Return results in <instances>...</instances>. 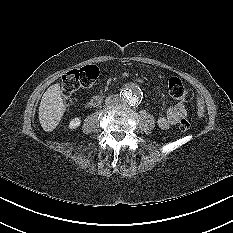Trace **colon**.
I'll return each mask as SVG.
<instances>
[{
  "instance_id": "5ec220e1",
  "label": "colon",
  "mask_w": 233,
  "mask_h": 233,
  "mask_svg": "<svg viewBox=\"0 0 233 233\" xmlns=\"http://www.w3.org/2000/svg\"><path fill=\"white\" fill-rule=\"evenodd\" d=\"M99 76V69L95 65H87L67 72L62 77L61 91L66 106L71 104L72 94L81 89L93 85ZM168 90L172 98L180 101H191L194 97L193 90L178 77H171L168 81ZM190 123L186 118L179 122V129L187 131Z\"/></svg>"
}]
</instances>
